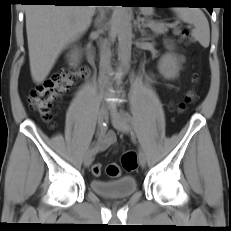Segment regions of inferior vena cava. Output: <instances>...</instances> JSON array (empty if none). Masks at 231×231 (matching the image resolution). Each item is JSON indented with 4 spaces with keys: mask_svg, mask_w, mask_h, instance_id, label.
Masks as SVG:
<instances>
[{
    "mask_svg": "<svg viewBox=\"0 0 231 231\" xmlns=\"http://www.w3.org/2000/svg\"><path fill=\"white\" fill-rule=\"evenodd\" d=\"M101 13V21L104 18L103 9H99ZM100 23V22H99ZM110 50L105 42L100 43V81L103 88H109L110 86Z\"/></svg>",
    "mask_w": 231,
    "mask_h": 231,
    "instance_id": "obj_1",
    "label": "inferior vena cava"
}]
</instances>
